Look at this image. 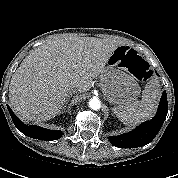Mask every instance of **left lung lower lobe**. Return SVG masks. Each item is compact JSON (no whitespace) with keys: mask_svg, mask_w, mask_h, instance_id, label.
<instances>
[{"mask_svg":"<svg viewBox=\"0 0 178 178\" xmlns=\"http://www.w3.org/2000/svg\"><path fill=\"white\" fill-rule=\"evenodd\" d=\"M167 113V95L166 91H164L155 117L129 133L120 136H111L109 139L111 144L119 148H136L150 143L161 129Z\"/></svg>","mask_w":178,"mask_h":178,"instance_id":"0a47b994","label":"left lung lower lobe"}]
</instances>
